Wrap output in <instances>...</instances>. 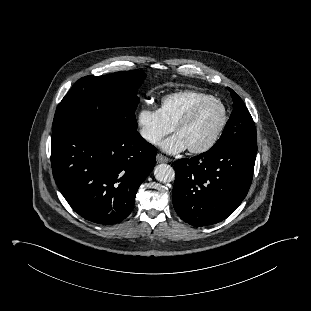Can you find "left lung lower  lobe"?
<instances>
[{"mask_svg": "<svg viewBox=\"0 0 311 311\" xmlns=\"http://www.w3.org/2000/svg\"><path fill=\"white\" fill-rule=\"evenodd\" d=\"M256 153V142H235L178 160L172 201L179 217L193 226L226 219L247 195Z\"/></svg>", "mask_w": 311, "mask_h": 311, "instance_id": "0a47b994", "label": "left lung lower lobe"}]
</instances>
